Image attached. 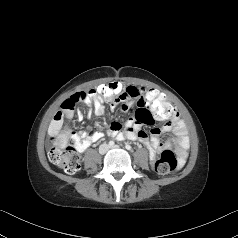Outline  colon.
Instances as JSON below:
<instances>
[{
	"label": "colon",
	"instance_id": "1",
	"mask_svg": "<svg viewBox=\"0 0 238 238\" xmlns=\"http://www.w3.org/2000/svg\"><path fill=\"white\" fill-rule=\"evenodd\" d=\"M120 80H111L108 86H96V94L100 96L102 103H119L118 94L122 93ZM87 96L86 92H77L67 98L62 107L71 109L78 102L83 101ZM147 98L150 100L149 109L153 112L158 120H167L173 117L175 109L168 102V97L165 93L151 88L146 93ZM51 147L48 151L50 161L58 168L62 169L68 174L77 173L80 170V156L75 147V141L72 136H69L65 145L58 144L56 136L50 138ZM178 166V160L171 149H166L162 152L160 158L155 164V168L160 174H168L174 171Z\"/></svg>",
	"mask_w": 238,
	"mask_h": 238
}]
</instances>
